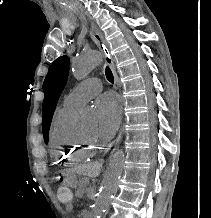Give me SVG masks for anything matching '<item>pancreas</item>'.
I'll use <instances>...</instances> for the list:
<instances>
[{"label": "pancreas", "mask_w": 211, "mask_h": 218, "mask_svg": "<svg viewBox=\"0 0 211 218\" xmlns=\"http://www.w3.org/2000/svg\"><path fill=\"white\" fill-rule=\"evenodd\" d=\"M83 187H85V184H80L79 188H77L76 196L79 195H86L85 192H83Z\"/></svg>", "instance_id": "obj_1"}]
</instances>
